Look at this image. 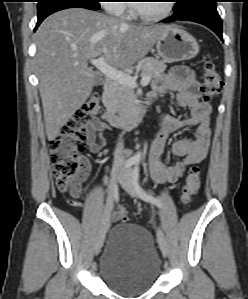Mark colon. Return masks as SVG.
<instances>
[{
	"label": "colon",
	"instance_id": "obj_1",
	"mask_svg": "<svg viewBox=\"0 0 248 299\" xmlns=\"http://www.w3.org/2000/svg\"><path fill=\"white\" fill-rule=\"evenodd\" d=\"M222 89V82L217 73L211 55L203 58L202 68V98L205 101L213 99ZM102 108L98 94L93 93L79 108L76 118L69 120L61 131L50 140V159L52 174L56 179L58 189L67 193L70 200L77 198L82 182L87 174L85 160L80 156L86 147V133L79 125L81 118L97 116ZM201 185L200 170L192 167L182 187V202L188 204L198 192ZM118 219L128 223L129 217L125 208L118 210Z\"/></svg>",
	"mask_w": 248,
	"mask_h": 299
}]
</instances>
